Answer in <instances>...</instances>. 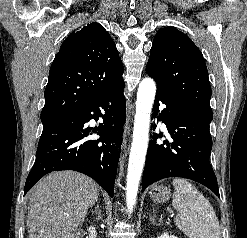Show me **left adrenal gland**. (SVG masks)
<instances>
[{"mask_svg":"<svg viewBox=\"0 0 247 238\" xmlns=\"http://www.w3.org/2000/svg\"><path fill=\"white\" fill-rule=\"evenodd\" d=\"M155 217H156V215H155V213H153V216L150 217L149 220L152 222L153 225H158V223H156V221H155Z\"/></svg>","mask_w":247,"mask_h":238,"instance_id":"1","label":"left adrenal gland"}]
</instances>
